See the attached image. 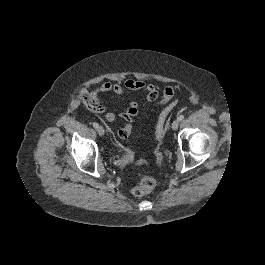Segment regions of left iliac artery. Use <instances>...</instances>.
I'll list each match as a JSON object with an SVG mask.
<instances>
[{
	"label": "left iliac artery",
	"mask_w": 265,
	"mask_h": 265,
	"mask_svg": "<svg viewBox=\"0 0 265 265\" xmlns=\"http://www.w3.org/2000/svg\"><path fill=\"white\" fill-rule=\"evenodd\" d=\"M184 117H185L184 115H180V116H178L177 119H178L179 121H182V120L184 119Z\"/></svg>",
	"instance_id": "obj_1"
}]
</instances>
